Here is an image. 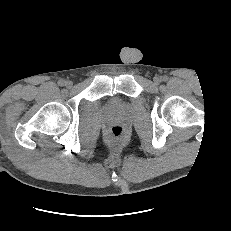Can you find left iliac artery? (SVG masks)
Listing matches in <instances>:
<instances>
[{
  "label": "left iliac artery",
  "mask_w": 231,
  "mask_h": 231,
  "mask_svg": "<svg viewBox=\"0 0 231 231\" xmlns=\"http://www.w3.org/2000/svg\"><path fill=\"white\" fill-rule=\"evenodd\" d=\"M162 80H163V81H166V80H167V77H163Z\"/></svg>",
  "instance_id": "44dca946"
}]
</instances>
